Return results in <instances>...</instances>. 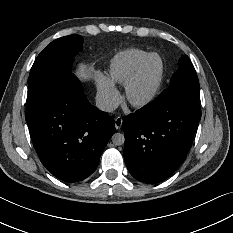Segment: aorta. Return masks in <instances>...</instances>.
<instances>
[{
    "label": "aorta",
    "instance_id": "1",
    "mask_svg": "<svg viewBox=\"0 0 233 233\" xmlns=\"http://www.w3.org/2000/svg\"><path fill=\"white\" fill-rule=\"evenodd\" d=\"M112 142H113V144H115L117 146L123 145L125 142V137L121 133H115L112 136Z\"/></svg>",
    "mask_w": 233,
    "mask_h": 233
}]
</instances>
